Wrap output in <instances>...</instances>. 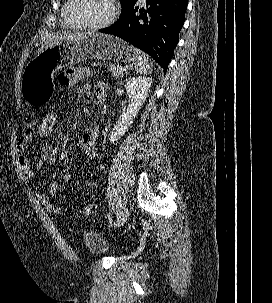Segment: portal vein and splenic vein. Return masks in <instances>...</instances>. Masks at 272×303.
<instances>
[{
    "label": "portal vein and splenic vein",
    "mask_w": 272,
    "mask_h": 303,
    "mask_svg": "<svg viewBox=\"0 0 272 303\" xmlns=\"http://www.w3.org/2000/svg\"><path fill=\"white\" fill-rule=\"evenodd\" d=\"M121 70H122V71H126V70H127V67H123Z\"/></svg>",
    "instance_id": "obj_1"
}]
</instances>
